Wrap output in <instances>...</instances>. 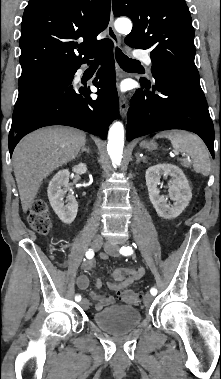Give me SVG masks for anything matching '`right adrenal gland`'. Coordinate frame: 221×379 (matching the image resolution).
Returning <instances> with one entry per match:
<instances>
[{
    "instance_id": "obj_1",
    "label": "right adrenal gland",
    "mask_w": 221,
    "mask_h": 379,
    "mask_svg": "<svg viewBox=\"0 0 221 379\" xmlns=\"http://www.w3.org/2000/svg\"><path fill=\"white\" fill-rule=\"evenodd\" d=\"M83 152H87L89 154L90 153V149L87 148L86 146H83L79 155H81Z\"/></svg>"
}]
</instances>
